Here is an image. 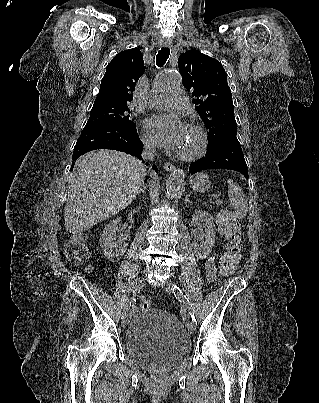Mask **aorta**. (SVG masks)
Here are the masks:
<instances>
[{
    "label": "aorta",
    "instance_id": "762f6f07",
    "mask_svg": "<svg viewBox=\"0 0 319 403\" xmlns=\"http://www.w3.org/2000/svg\"><path fill=\"white\" fill-rule=\"evenodd\" d=\"M180 85V78L177 74L163 72L156 81L155 88L158 90H165ZM185 181V172L183 169H176L170 175L166 183V196L168 198L176 197L183 189Z\"/></svg>",
    "mask_w": 319,
    "mask_h": 403
}]
</instances>
